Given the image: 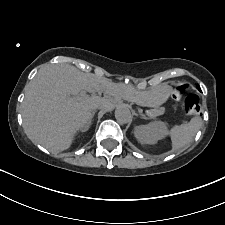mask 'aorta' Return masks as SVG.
<instances>
[{
  "mask_svg": "<svg viewBox=\"0 0 225 225\" xmlns=\"http://www.w3.org/2000/svg\"><path fill=\"white\" fill-rule=\"evenodd\" d=\"M115 118L121 124H127L132 121L130 110L126 106H118L115 110Z\"/></svg>",
  "mask_w": 225,
  "mask_h": 225,
  "instance_id": "aorta-1",
  "label": "aorta"
}]
</instances>
